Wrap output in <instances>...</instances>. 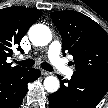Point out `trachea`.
I'll use <instances>...</instances> for the list:
<instances>
[{"mask_svg":"<svg viewBox=\"0 0 108 108\" xmlns=\"http://www.w3.org/2000/svg\"><path fill=\"white\" fill-rule=\"evenodd\" d=\"M15 63L23 66V67H32L35 64V61L33 59H26L22 61H15ZM41 67L46 71H53V67L48 64L47 62H42Z\"/></svg>","mask_w":108,"mask_h":108,"instance_id":"obj_1","label":"trachea"}]
</instances>
